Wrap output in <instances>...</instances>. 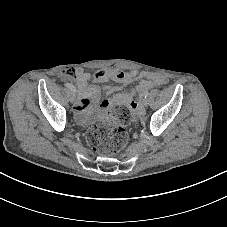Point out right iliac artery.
Segmentation results:
<instances>
[{"label":"right iliac artery","instance_id":"1","mask_svg":"<svg viewBox=\"0 0 227 227\" xmlns=\"http://www.w3.org/2000/svg\"><path fill=\"white\" fill-rule=\"evenodd\" d=\"M65 86L68 87L72 92H76V87L74 85L66 83Z\"/></svg>","mask_w":227,"mask_h":227}]
</instances>
